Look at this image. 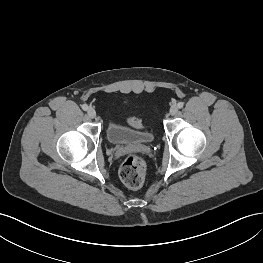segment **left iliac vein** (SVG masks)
Wrapping results in <instances>:
<instances>
[{
    "label": "left iliac vein",
    "mask_w": 263,
    "mask_h": 263,
    "mask_svg": "<svg viewBox=\"0 0 263 263\" xmlns=\"http://www.w3.org/2000/svg\"><path fill=\"white\" fill-rule=\"evenodd\" d=\"M177 112H178V107H177L176 105L171 106V108H170V114H171V115H176Z\"/></svg>",
    "instance_id": "1"
}]
</instances>
